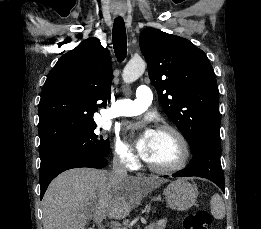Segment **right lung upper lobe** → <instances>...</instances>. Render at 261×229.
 Listing matches in <instances>:
<instances>
[{"mask_svg": "<svg viewBox=\"0 0 261 229\" xmlns=\"http://www.w3.org/2000/svg\"><path fill=\"white\" fill-rule=\"evenodd\" d=\"M112 66L107 48L88 38L64 54L49 72L39 103L40 150L73 140L96 124L110 100Z\"/></svg>", "mask_w": 261, "mask_h": 229, "instance_id": "1", "label": "right lung upper lobe"}]
</instances>
